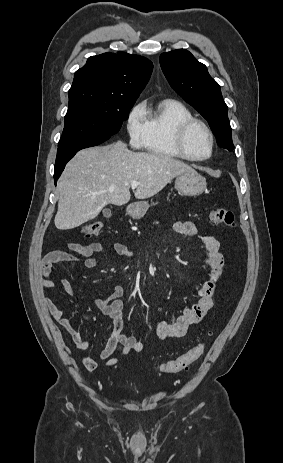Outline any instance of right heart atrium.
<instances>
[{"label": "right heart atrium", "mask_w": 283, "mask_h": 463, "mask_svg": "<svg viewBox=\"0 0 283 463\" xmlns=\"http://www.w3.org/2000/svg\"><path fill=\"white\" fill-rule=\"evenodd\" d=\"M126 130L130 144L139 148L143 146L146 133L145 106L143 103L135 105L128 114Z\"/></svg>", "instance_id": "1"}]
</instances>
